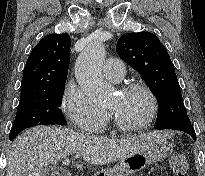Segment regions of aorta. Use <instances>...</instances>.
Listing matches in <instances>:
<instances>
[{
  "mask_svg": "<svg viewBox=\"0 0 205 176\" xmlns=\"http://www.w3.org/2000/svg\"><path fill=\"white\" fill-rule=\"evenodd\" d=\"M105 54L104 45L94 42L80 53L75 64V77L78 84L95 103L104 102L110 93V87L102 75Z\"/></svg>",
  "mask_w": 205,
  "mask_h": 176,
  "instance_id": "obj_1",
  "label": "aorta"
}]
</instances>
